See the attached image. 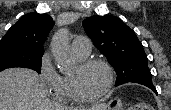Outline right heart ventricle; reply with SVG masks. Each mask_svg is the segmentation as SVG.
<instances>
[{
	"label": "right heart ventricle",
	"mask_w": 171,
	"mask_h": 110,
	"mask_svg": "<svg viewBox=\"0 0 171 110\" xmlns=\"http://www.w3.org/2000/svg\"><path fill=\"white\" fill-rule=\"evenodd\" d=\"M73 56L77 61H82L85 59V57L79 56L74 52ZM53 95L57 100L62 102H69L74 100L71 94L68 76H60V81L57 87L54 89Z\"/></svg>",
	"instance_id": "e07e8e85"
}]
</instances>
